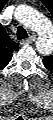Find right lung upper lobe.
<instances>
[{"label": "right lung upper lobe", "mask_w": 53, "mask_h": 120, "mask_svg": "<svg viewBox=\"0 0 53 120\" xmlns=\"http://www.w3.org/2000/svg\"><path fill=\"white\" fill-rule=\"evenodd\" d=\"M0 35V66L5 67L11 60L12 53L17 51L19 46L16 42L12 41L3 27H1Z\"/></svg>", "instance_id": "right-lung-upper-lobe-1"}]
</instances>
